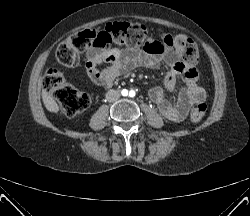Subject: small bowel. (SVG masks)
Instances as JSON below:
<instances>
[{
  "label": "small bowel",
  "instance_id": "1",
  "mask_svg": "<svg viewBox=\"0 0 250 216\" xmlns=\"http://www.w3.org/2000/svg\"><path fill=\"white\" fill-rule=\"evenodd\" d=\"M175 45L174 36L164 33L146 36L143 49L90 48L85 55L86 73L93 83L103 86L138 67L158 69L163 62L168 64L170 71L164 86L152 88L149 98L168 121L181 122L194 104L205 100L206 93L197 70L182 61ZM103 63L108 66L100 70L98 66ZM177 76H182L186 85L177 94L175 102H171L165 95L175 94Z\"/></svg>",
  "mask_w": 250,
  "mask_h": 216
}]
</instances>
